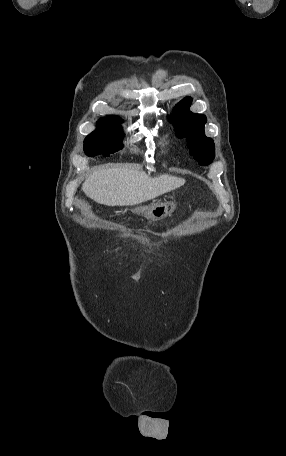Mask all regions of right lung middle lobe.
Listing matches in <instances>:
<instances>
[{"label":"right lung middle lobe","instance_id":"1","mask_svg":"<svg viewBox=\"0 0 286 456\" xmlns=\"http://www.w3.org/2000/svg\"><path fill=\"white\" fill-rule=\"evenodd\" d=\"M121 121L111 118H101L97 122V128L84 140V150L86 155L95 156L103 154L109 156L123 147Z\"/></svg>","mask_w":286,"mask_h":456}]
</instances>
